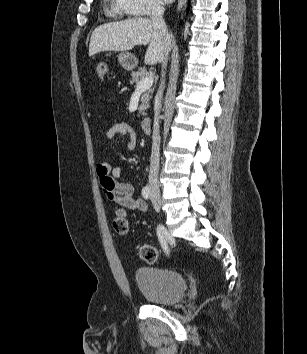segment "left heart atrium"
Listing matches in <instances>:
<instances>
[{"label":"left heart atrium","instance_id":"39dd6f15","mask_svg":"<svg viewBox=\"0 0 307 354\" xmlns=\"http://www.w3.org/2000/svg\"><path fill=\"white\" fill-rule=\"evenodd\" d=\"M165 2H171L172 0H164Z\"/></svg>","mask_w":307,"mask_h":354}]
</instances>
